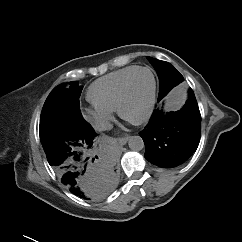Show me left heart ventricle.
<instances>
[{"label": "left heart ventricle", "mask_w": 242, "mask_h": 242, "mask_svg": "<svg viewBox=\"0 0 242 242\" xmlns=\"http://www.w3.org/2000/svg\"><path fill=\"white\" fill-rule=\"evenodd\" d=\"M153 87L152 77L147 71L138 72L132 79L123 111L130 119L142 116L148 106Z\"/></svg>", "instance_id": "obj_1"}]
</instances>
